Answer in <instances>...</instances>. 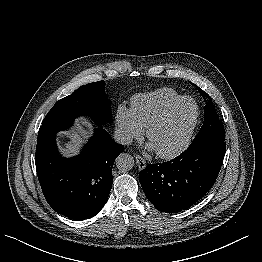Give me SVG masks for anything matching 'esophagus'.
I'll use <instances>...</instances> for the list:
<instances>
[{
	"mask_svg": "<svg viewBox=\"0 0 262 262\" xmlns=\"http://www.w3.org/2000/svg\"><path fill=\"white\" fill-rule=\"evenodd\" d=\"M136 163L138 165V168L140 170L144 169L146 167V161L140 156V155H135Z\"/></svg>",
	"mask_w": 262,
	"mask_h": 262,
	"instance_id": "esophagus-1",
	"label": "esophagus"
}]
</instances>
